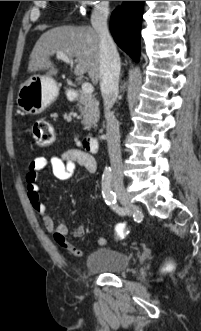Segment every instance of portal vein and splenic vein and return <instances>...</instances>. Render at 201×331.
Masks as SVG:
<instances>
[{"mask_svg": "<svg viewBox=\"0 0 201 331\" xmlns=\"http://www.w3.org/2000/svg\"><path fill=\"white\" fill-rule=\"evenodd\" d=\"M56 57H57V59H60L67 64L71 63V58H69L67 55H65L63 53H57ZM82 91L86 94H92L94 92V87L92 86V84H90L88 82H84L82 84Z\"/></svg>", "mask_w": 201, "mask_h": 331, "instance_id": "18ae733b", "label": "portal vein and splenic vein"}]
</instances>
